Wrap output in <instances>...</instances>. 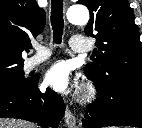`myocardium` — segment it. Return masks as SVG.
I'll use <instances>...</instances> for the list:
<instances>
[{"mask_svg": "<svg viewBox=\"0 0 142 128\" xmlns=\"http://www.w3.org/2000/svg\"><path fill=\"white\" fill-rule=\"evenodd\" d=\"M95 93H96V91H95L94 86L91 85V84H88V85H86L85 88H84L82 98H83V100H85V101H89V100H91V99L94 98Z\"/></svg>", "mask_w": 142, "mask_h": 128, "instance_id": "1", "label": "myocardium"}]
</instances>
